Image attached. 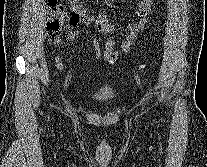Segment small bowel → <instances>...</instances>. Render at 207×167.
I'll return each mask as SVG.
<instances>
[{"label": "small bowel", "instance_id": "1", "mask_svg": "<svg viewBox=\"0 0 207 167\" xmlns=\"http://www.w3.org/2000/svg\"><path fill=\"white\" fill-rule=\"evenodd\" d=\"M114 1L115 0H109L108 4H112ZM67 2L73 12L69 22L70 27H75L80 24H96L101 31L110 35L105 43L103 53L100 51L98 40L94 37H90L95 51V62L104 60L110 64L115 63L119 57L124 56L129 52L137 39V35L146 27L148 16L151 14L153 8V0H141L137 3L134 10V20L122 28L126 33V37L121 44V48L119 50H115V42L112 35L116 31V28L109 21L108 15L105 12H102L99 15L91 14L87 9L86 4L81 2V0H67ZM79 35V32H72L69 35L68 40H73ZM58 42L59 40L55 41V43ZM56 64L60 69H64V64L58 56L56 57Z\"/></svg>", "mask_w": 207, "mask_h": 167}]
</instances>
